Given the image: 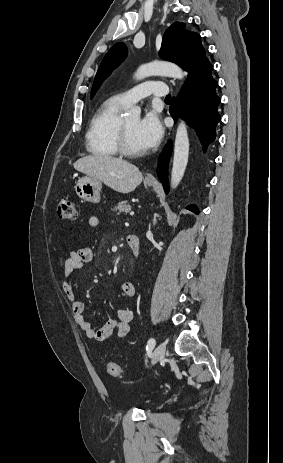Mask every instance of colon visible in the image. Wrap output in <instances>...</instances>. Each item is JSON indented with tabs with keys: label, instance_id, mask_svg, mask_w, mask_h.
I'll use <instances>...</instances> for the list:
<instances>
[{
	"label": "colon",
	"instance_id": "obj_1",
	"mask_svg": "<svg viewBox=\"0 0 283 463\" xmlns=\"http://www.w3.org/2000/svg\"><path fill=\"white\" fill-rule=\"evenodd\" d=\"M58 216L62 220H75L77 217L74 201L63 197L58 206ZM106 371L112 377H121V367L115 362L106 363Z\"/></svg>",
	"mask_w": 283,
	"mask_h": 463
}]
</instances>
